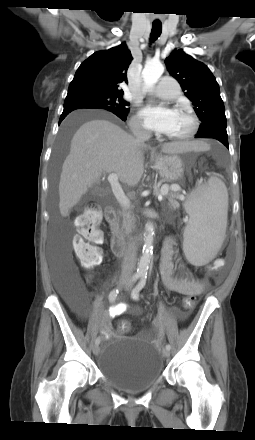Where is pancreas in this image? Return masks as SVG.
Here are the masks:
<instances>
[{
  "label": "pancreas",
  "mask_w": 255,
  "mask_h": 440,
  "mask_svg": "<svg viewBox=\"0 0 255 440\" xmlns=\"http://www.w3.org/2000/svg\"><path fill=\"white\" fill-rule=\"evenodd\" d=\"M174 187H169L165 185L161 188V194L163 191H166L164 194L169 199V204L173 209L179 207V203L176 199L179 197V194L173 191ZM171 190V191H170ZM135 227V216L130 210H122L118 213V217L112 223V230L114 233H117L122 236H127L132 232V229Z\"/></svg>",
  "instance_id": "obj_1"
}]
</instances>
